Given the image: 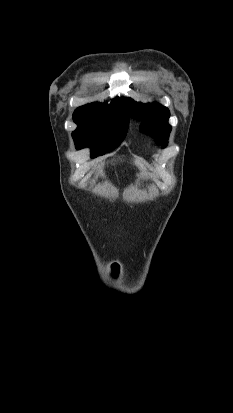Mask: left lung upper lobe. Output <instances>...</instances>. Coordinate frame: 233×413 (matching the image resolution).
<instances>
[{"label":"left lung upper lobe","mask_w":233,"mask_h":413,"mask_svg":"<svg viewBox=\"0 0 233 413\" xmlns=\"http://www.w3.org/2000/svg\"><path fill=\"white\" fill-rule=\"evenodd\" d=\"M125 101L130 116L143 122L141 129L155 136L158 145L165 144L166 146L171 131V126L168 124L170 116L168 108L158 103L135 102L131 98Z\"/></svg>","instance_id":"left-lung-upper-lobe-1"}]
</instances>
